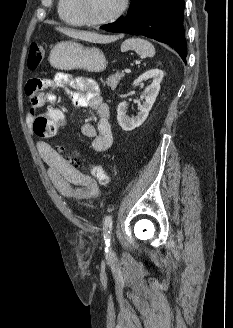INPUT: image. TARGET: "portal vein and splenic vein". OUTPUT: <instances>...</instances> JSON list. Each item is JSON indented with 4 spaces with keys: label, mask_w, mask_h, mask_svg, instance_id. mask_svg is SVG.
I'll return each mask as SVG.
<instances>
[{
    "label": "portal vein and splenic vein",
    "mask_w": 233,
    "mask_h": 328,
    "mask_svg": "<svg viewBox=\"0 0 233 328\" xmlns=\"http://www.w3.org/2000/svg\"><path fill=\"white\" fill-rule=\"evenodd\" d=\"M124 73H131V70L130 69H125L123 70Z\"/></svg>",
    "instance_id": "18ae733b"
}]
</instances>
